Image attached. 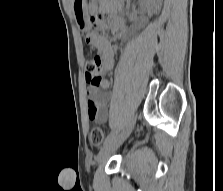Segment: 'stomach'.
Instances as JSON below:
<instances>
[{
  "label": "stomach",
  "mask_w": 223,
  "mask_h": 191,
  "mask_svg": "<svg viewBox=\"0 0 223 191\" xmlns=\"http://www.w3.org/2000/svg\"><path fill=\"white\" fill-rule=\"evenodd\" d=\"M72 11L77 26L81 31L88 32L91 28V24L87 0H72Z\"/></svg>",
  "instance_id": "0dacf381"
}]
</instances>
